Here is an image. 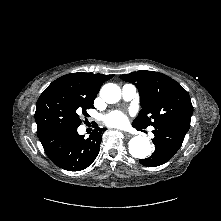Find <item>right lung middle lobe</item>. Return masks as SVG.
Returning <instances> with one entry per match:
<instances>
[{"mask_svg":"<svg viewBox=\"0 0 221 221\" xmlns=\"http://www.w3.org/2000/svg\"><path fill=\"white\" fill-rule=\"evenodd\" d=\"M93 103L63 85H49L40 95L35 112L39 139L58 130L78 128L80 115L88 116Z\"/></svg>","mask_w":221,"mask_h":221,"instance_id":"obj_1","label":"right lung middle lobe"}]
</instances>
